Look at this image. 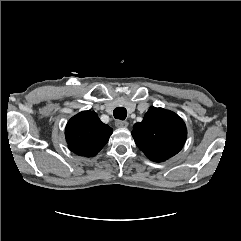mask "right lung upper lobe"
Returning <instances> with one entry per match:
<instances>
[{
    "label": "right lung upper lobe",
    "mask_w": 241,
    "mask_h": 241,
    "mask_svg": "<svg viewBox=\"0 0 241 241\" xmlns=\"http://www.w3.org/2000/svg\"><path fill=\"white\" fill-rule=\"evenodd\" d=\"M112 128L94 111H83L72 117L65 128L68 148L79 156H95L108 142Z\"/></svg>",
    "instance_id": "obj_1"
}]
</instances>
